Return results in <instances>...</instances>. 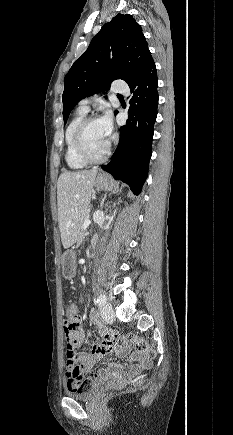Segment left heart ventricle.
Returning <instances> with one entry per match:
<instances>
[{"mask_svg":"<svg viewBox=\"0 0 233 435\" xmlns=\"http://www.w3.org/2000/svg\"><path fill=\"white\" fill-rule=\"evenodd\" d=\"M110 136L104 130L100 120L92 122L85 131V143L91 154L98 156L104 153Z\"/></svg>","mask_w":233,"mask_h":435,"instance_id":"1","label":"left heart ventricle"}]
</instances>
